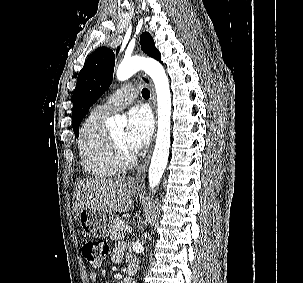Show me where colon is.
I'll list each match as a JSON object with an SVG mask.
<instances>
[{
	"mask_svg": "<svg viewBox=\"0 0 303 283\" xmlns=\"http://www.w3.org/2000/svg\"><path fill=\"white\" fill-rule=\"evenodd\" d=\"M80 250L87 263L93 268L100 267L103 260L110 253L109 246L106 242L95 239L83 240L80 245Z\"/></svg>",
	"mask_w": 303,
	"mask_h": 283,
	"instance_id": "colon-1",
	"label": "colon"
}]
</instances>
